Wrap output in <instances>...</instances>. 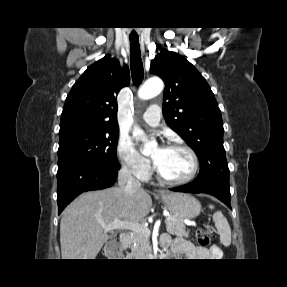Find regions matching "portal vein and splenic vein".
I'll return each mask as SVG.
<instances>
[{
	"mask_svg": "<svg viewBox=\"0 0 287 287\" xmlns=\"http://www.w3.org/2000/svg\"><path fill=\"white\" fill-rule=\"evenodd\" d=\"M166 220H168V217H166ZM103 227H104L105 231H110L113 229H126V230H131L133 232L150 234V230L148 229V227H146L144 225H141L139 223L121 221L118 219H115L110 224L103 225Z\"/></svg>",
	"mask_w": 287,
	"mask_h": 287,
	"instance_id": "18ae733b",
	"label": "portal vein and splenic vein"
}]
</instances>
